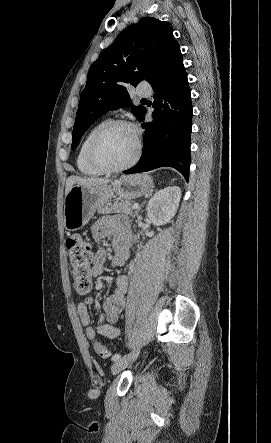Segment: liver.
<instances>
[{"instance_id": "obj_1", "label": "liver", "mask_w": 271, "mask_h": 443, "mask_svg": "<svg viewBox=\"0 0 271 443\" xmlns=\"http://www.w3.org/2000/svg\"><path fill=\"white\" fill-rule=\"evenodd\" d=\"M110 180H101V178H78V176H70L66 180L65 186V194L67 196L68 192L72 190L74 184H78V186H88V188H92V186H100V184H108Z\"/></svg>"}]
</instances>
